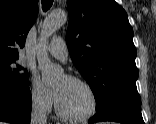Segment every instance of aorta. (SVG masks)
<instances>
[{
    "instance_id": "762f6f07",
    "label": "aorta",
    "mask_w": 156,
    "mask_h": 124,
    "mask_svg": "<svg viewBox=\"0 0 156 124\" xmlns=\"http://www.w3.org/2000/svg\"><path fill=\"white\" fill-rule=\"evenodd\" d=\"M67 20V15L64 11L57 10L52 12L43 22L40 34L41 45H46L49 37L61 27ZM38 66L42 73V80L46 84H50L62 73V69L53 65L48 57L45 48H40L37 52Z\"/></svg>"
}]
</instances>
